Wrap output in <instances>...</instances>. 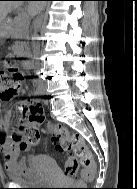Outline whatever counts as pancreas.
<instances>
[{"mask_svg": "<svg viewBox=\"0 0 137 189\" xmlns=\"http://www.w3.org/2000/svg\"><path fill=\"white\" fill-rule=\"evenodd\" d=\"M29 21L27 19H20L17 17L13 25L14 37L18 39H26L28 37Z\"/></svg>", "mask_w": 137, "mask_h": 189, "instance_id": "1", "label": "pancreas"}]
</instances>
